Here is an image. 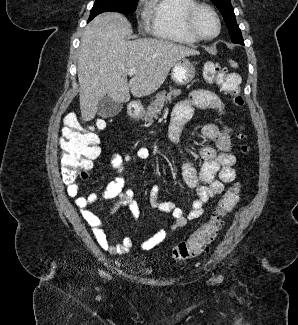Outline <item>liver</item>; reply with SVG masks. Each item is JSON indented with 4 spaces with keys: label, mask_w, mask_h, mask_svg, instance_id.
<instances>
[{
    "label": "liver",
    "mask_w": 298,
    "mask_h": 325,
    "mask_svg": "<svg viewBox=\"0 0 298 325\" xmlns=\"http://www.w3.org/2000/svg\"><path fill=\"white\" fill-rule=\"evenodd\" d=\"M132 28L123 14L102 12L81 36L77 74L82 120H92L105 94L114 102L148 96L160 88L170 68L184 56L200 54L196 48L159 38L126 40ZM136 68L128 80L127 70Z\"/></svg>",
    "instance_id": "6515ba94"
}]
</instances>
